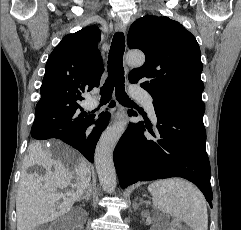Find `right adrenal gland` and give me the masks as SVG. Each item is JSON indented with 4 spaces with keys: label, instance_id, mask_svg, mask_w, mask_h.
<instances>
[{
    "label": "right adrenal gland",
    "instance_id": "2a0ac1e0",
    "mask_svg": "<svg viewBox=\"0 0 241 230\" xmlns=\"http://www.w3.org/2000/svg\"><path fill=\"white\" fill-rule=\"evenodd\" d=\"M91 191H92V186L89 185L87 188L86 194L83 197H81L80 199H78V201H81V200H84L86 202L89 201L90 197H91Z\"/></svg>",
    "mask_w": 241,
    "mask_h": 230
}]
</instances>
